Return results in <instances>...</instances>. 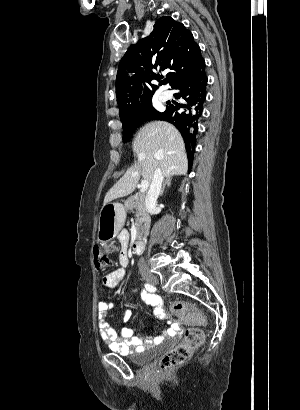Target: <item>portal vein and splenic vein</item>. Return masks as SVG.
<instances>
[{
  "mask_svg": "<svg viewBox=\"0 0 300 410\" xmlns=\"http://www.w3.org/2000/svg\"><path fill=\"white\" fill-rule=\"evenodd\" d=\"M149 182L147 180H142L140 185V192H145L148 189Z\"/></svg>",
  "mask_w": 300,
  "mask_h": 410,
  "instance_id": "1",
  "label": "portal vein and splenic vein"
}]
</instances>
